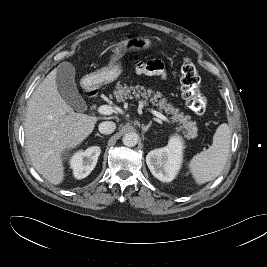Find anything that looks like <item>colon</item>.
<instances>
[{
    "label": "colon",
    "instance_id": "colon-1",
    "mask_svg": "<svg viewBox=\"0 0 267 267\" xmlns=\"http://www.w3.org/2000/svg\"><path fill=\"white\" fill-rule=\"evenodd\" d=\"M182 97L188 108L197 115H202L207 109V99L200 92V77L195 64L186 59L181 65L180 76Z\"/></svg>",
    "mask_w": 267,
    "mask_h": 267
}]
</instances>
